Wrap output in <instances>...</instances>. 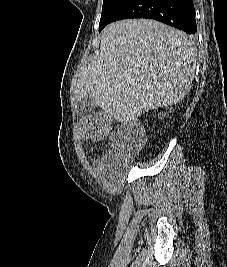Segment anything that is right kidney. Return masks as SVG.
Listing matches in <instances>:
<instances>
[{"mask_svg":"<svg viewBox=\"0 0 227 267\" xmlns=\"http://www.w3.org/2000/svg\"><path fill=\"white\" fill-rule=\"evenodd\" d=\"M161 115H162V116H165V114H160V115H158V116H161ZM159 118H161V117H159Z\"/></svg>","mask_w":227,"mask_h":267,"instance_id":"right-kidney-1","label":"right kidney"}]
</instances>
